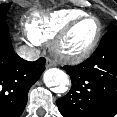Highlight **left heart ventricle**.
Returning a JSON list of instances; mask_svg holds the SVG:
<instances>
[{
  "mask_svg": "<svg viewBox=\"0 0 117 117\" xmlns=\"http://www.w3.org/2000/svg\"><path fill=\"white\" fill-rule=\"evenodd\" d=\"M97 30V24L94 20L82 22L72 32L65 43V47L70 52H80L84 50L93 40Z\"/></svg>",
  "mask_w": 117,
  "mask_h": 117,
  "instance_id": "left-heart-ventricle-1",
  "label": "left heart ventricle"
}]
</instances>
